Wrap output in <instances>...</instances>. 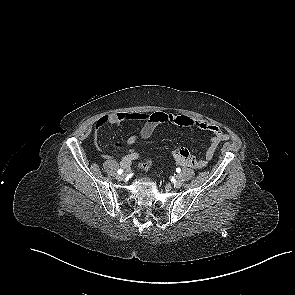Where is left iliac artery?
I'll list each match as a JSON object with an SVG mask.
<instances>
[{
  "mask_svg": "<svg viewBox=\"0 0 295 295\" xmlns=\"http://www.w3.org/2000/svg\"><path fill=\"white\" fill-rule=\"evenodd\" d=\"M176 172H177V173H180V172H181V169H180V168H177V169H176Z\"/></svg>",
  "mask_w": 295,
  "mask_h": 295,
  "instance_id": "left-iliac-artery-1",
  "label": "left iliac artery"
}]
</instances>
